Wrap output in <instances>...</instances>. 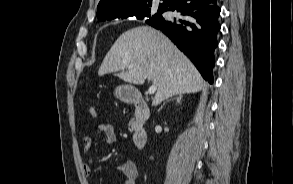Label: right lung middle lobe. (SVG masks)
<instances>
[{"instance_id": "dd1d6c3e", "label": "right lung middle lobe", "mask_w": 293, "mask_h": 184, "mask_svg": "<svg viewBox=\"0 0 293 184\" xmlns=\"http://www.w3.org/2000/svg\"><path fill=\"white\" fill-rule=\"evenodd\" d=\"M164 10L163 9H158V13L153 15L151 19L147 20L148 21H155V20H158V19H161L162 16H161V13H163ZM150 10H147V11H143V12H139L137 14L134 15V17H136L137 19H144L146 17H150Z\"/></svg>"}]
</instances>
